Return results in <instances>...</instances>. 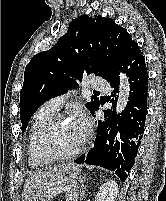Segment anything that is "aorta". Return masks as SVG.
Wrapping results in <instances>:
<instances>
[{
  "label": "aorta",
  "instance_id": "1",
  "mask_svg": "<svg viewBox=\"0 0 166 201\" xmlns=\"http://www.w3.org/2000/svg\"><path fill=\"white\" fill-rule=\"evenodd\" d=\"M130 87L128 83V79L125 74H120V86H119V97L116 105V112L117 114L122 112L127 103L129 98Z\"/></svg>",
  "mask_w": 166,
  "mask_h": 201
}]
</instances>
